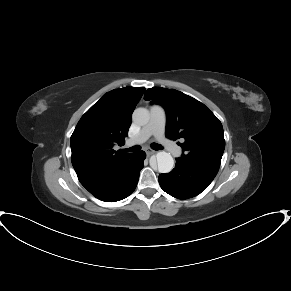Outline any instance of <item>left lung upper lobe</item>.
I'll return each instance as SVG.
<instances>
[{"mask_svg": "<svg viewBox=\"0 0 291 291\" xmlns=\"http://www.w3.org/2000/svg\"><path fill=\"white\" fill-rule=\"evenodd\" d=\"M145 100L162 105L166 111V136L182 139V159L211 167H220L225 148L223 127L204 104L174 89L153 87Z\"/></svg>", "mask_w": 291, "mask_h": 291, "instance_id": "1", "label": "left lung upper lobe"}]
</instances>
